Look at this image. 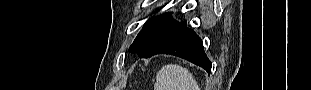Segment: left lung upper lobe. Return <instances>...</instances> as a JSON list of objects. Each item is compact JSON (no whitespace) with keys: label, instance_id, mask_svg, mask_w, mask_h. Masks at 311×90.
<instances>
[{"label":"left lung upper lobe","instance_id":"1","mask_svg":"<svg viewBox=\"0 0 311 90\" xmlns=\"http://www.w3.org/2000/svg\"><path fill=\"white\" fill-rule=\"evenodd\" d=\"M178 24L171 13L150 18L131 44L129 51L147 58L154 47Z\"/></svg>","mask_w":311,"mask_h":90}]
</instances>
